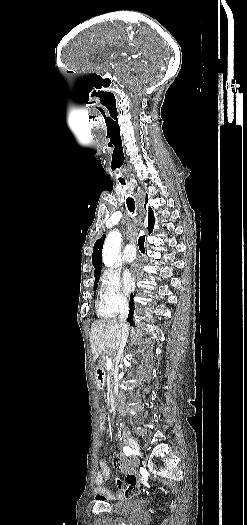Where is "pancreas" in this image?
Instances as JSON below:
<instances>
[{
  "mask_svg": "<svg viewBox=\"0 0 247 525\" xmlns=\"http://www.w3.org/2000/svg\"><path fill=\"white\" fill-rule=\"evenodd\" d=\"M100 361H101V364L105 365V358H103V355H100ZM114 371H115V365L113 363L111 367V371H110L111 375H115Z\"/></svg>",
  "mask_w": 247,
  "mask_h": 525,
  "instance_id": "1",
  "label": "pancreas"
}]
</instances>
